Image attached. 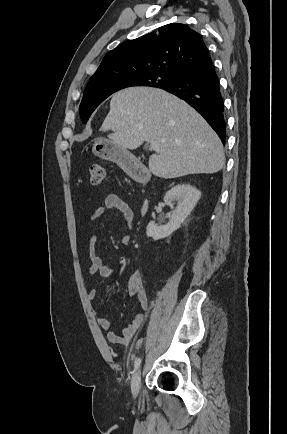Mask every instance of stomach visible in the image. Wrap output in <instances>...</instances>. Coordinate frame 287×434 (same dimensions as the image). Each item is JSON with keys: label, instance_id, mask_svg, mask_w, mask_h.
I'll return each mask as SVG.
<instances>
[{"label": "stomach", "instance_id": "1", "mask_svg": "<svg viewBox=\"0 0 287 434\" xmlns=\"http://www.w3.org/2000/svg\"><path fill=\"white\" fill-rule=\"evenodd\" d=\"M92 151L99 158L114 162L123 168L128 167L133 159L129 151L104 138L95 140Z\"/></svg>", "mask_w": 287, "mask_h": 434}]
</instances>
